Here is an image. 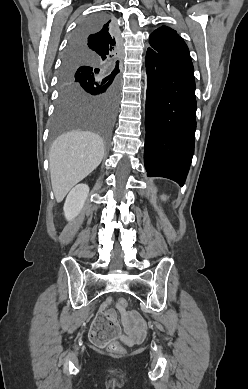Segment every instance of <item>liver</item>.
Here are the masks:
<instances>
[{
	"label": "liver",
	"mask_w": 248,
	"mask_h": 389,
	"mask_svg": "<svg viewBox=\"0 0 248 389\" xmlns=\"http://www.w3.org/2000/svg\"><path fill=\"white\" fill-rule=\"evenodd\" d=\"M104 156L103 139L90 131H71L60 135L51 145L49 167L56 201L67 193L101 163Z\"/></svg>",
	"instance_id": "liver-1"
}]
</instances>
